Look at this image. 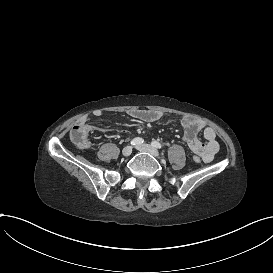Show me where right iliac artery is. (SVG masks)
Wrapping results in <instances>:
<instances>
[{
    "label": "right iliac artery",
    "mask_w": 273,
    "mask_h": 273,
    "mask_svg": "<svg viewBox=\"0 0 273 273\" xmlns=\"http://www.w3.org/2000/svg\"><path fill=\"white\" fill-rule=\"evenodd\" d=\"M144 142V140L140 137H137V138H134L130 144L133 145V146H139L141 145L142 143Z\"/></svg>",
    "instance_id": "obj_1"
}]
</instances>
